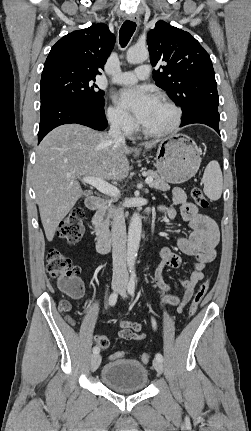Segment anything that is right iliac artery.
<instances>
[{"instance_id":"82829eb1","label":"right iliac artery","mask_w":251,"mask_h":431,"mask_svg":"<svg viewBox=\"0 0 251 431\" xmlns=\"http://www.w3.org/2000/svg\"><path fill=\"white\" fill-rule=\"evenodd\" d=\"M117 298H118V294H117L116 292H113V293L110 295V297H109V305H110V306H114V305L116 304V302H117ZM99 352H100L99 347L95 346V347L93 348V353H94V354H97V353H99Z\"/></svg>"}]
</instances>
